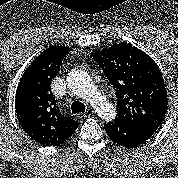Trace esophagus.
Here are the masks:
<instances>
[{"instance_id":"1","label":"esophagus","mask_w":178,"mask_h":178,"mask_svg":"<svg viewBox=\"0 0 178 178\" xmlns=\"http://www.w3.org/2000/svg\"><path fill=\"white\" fill-rule=\"evenodd\" d=\"M93 112H94L93 109L89 108L85 114H81V113L77 114V118L87 117V116L93 114Z\"/></svg>"}]
</instances>
